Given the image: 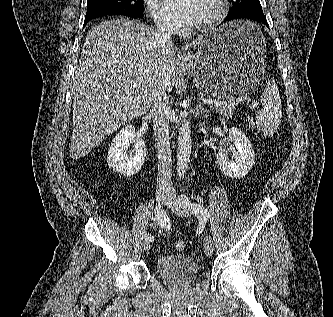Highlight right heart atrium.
Listing matches in <instances>:
<instances>
[{
	"instance_id": "1",
	"label": "right heart atrium",
	"mask_w": 333,
	"mask_h": 317,
	"mask_svg": "<svg viewBox=\"0 0 333 317\" xmlns=\"http://www.w3.org/2000/svg\"><path fill=\"white\" fill-rule=\"evenodd\" d=\"M148 12L158 27L170 31L175 30V27L161 14L154 0H148Z\"/></svg>"
}]
</instances>
